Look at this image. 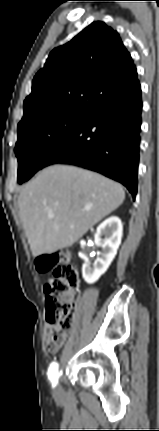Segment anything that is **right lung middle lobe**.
Segmentation results:
<instances>
[{
	"label": "right lung middle lobe",
	"instance_id": "obj_1",
	"mask_svg": "<svg viewBox=\"0 0 159 431\" xmlns=\"http://www.w3.org/2000/svg\"><path fill=\"white\" fill-rule=\"evenodd\" d=\"M87 116L88 113L83 112H60L18 129L15 146L19 162L18 183L27 181L40 170L50 150Z\"/></svg>",
	"mask_w": 159,
	"mask_h": 431
}]
</instances>
